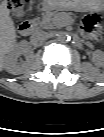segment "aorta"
<instances>
[{"instance_id": "1", "label": "aorta", "mask_w": 104, "mask_h": 137, "mask_svg": "<svg viewBox=\"0 0 104 137\" xmlns=\"http://www.w3.org/2000/svg\"><path fill=\"white\" fill-rule=\"evenodd\" d=\"M58 42L59 43H66L67 41H70L71 40V37L70 36H68V35H66V34H59L58 35Z\"/></svg>"}]
</instances>
